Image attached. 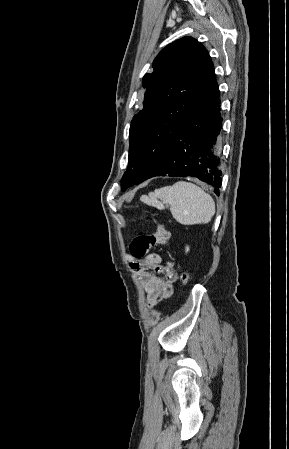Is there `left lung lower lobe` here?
I'll use <instances>...</instances> for the list:
<instances>
[{
    "label": "left lung lower lobe",
    "mask_w": 289,
    "mask_h": 449,
    "mask_svg": "<svg viewBox=\"0 0 289 449\" xmlns=\"http://www.w3.org/2000/svg\"><path fill=\"white\" fill-rule=\"evenodd\" d=\"M221 129L219 88L213 69L189 116L166 139V157L156 176L194 177L215 186L219 195Z\"/></svg>",
    "instance_id": "0a47b994"
}]
</instances>
